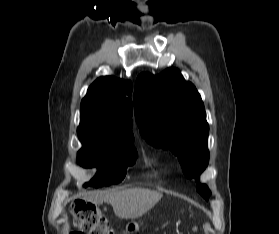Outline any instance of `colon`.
I'll use <instances>...</instances> for the list:
<instances>
[{
    "instance_id": "obj_1",
    "label": "colon",
    "mask_w": 279,
    "mask_h": 234,
    "mask_svg": "<svg viewBox=\"0 0 279 234\" xmlns=\"http://www.w3.org/2000/svg\"><path fill=\"white\" fill-rule=\"evenodd\" d=\"M76 230L72 234H116L101 210L83 203L74 210Z\"/></svg>"
}]
</instances>
